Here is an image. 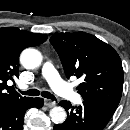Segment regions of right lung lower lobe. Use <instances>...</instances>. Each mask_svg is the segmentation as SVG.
<instances>
[{"label":"right lung lower lobe","instance_id":"obj_1","mask_svg":"<svg viewBox=\"0 0 130 130\" xmlns=\"http://www.w3.org/2000/svg\"><path fill=\"white\" fill-rule=\"evenodd\" d=\"M42 98H22L0 103V130H23L24 114L32 107L41 108Z\"/></svg>","mask_w":130,"mask_h":130}]
</instances>
